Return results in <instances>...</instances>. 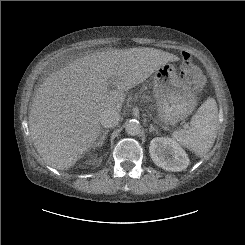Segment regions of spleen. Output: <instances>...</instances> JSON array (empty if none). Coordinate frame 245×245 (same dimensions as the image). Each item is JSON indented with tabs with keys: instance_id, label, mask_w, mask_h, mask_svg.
I'll return each instance as SVG.
<instances>
[{
	"instance_id": "spleen-1",
	"label": "spleen",
	"mask_w": 245,
	"mask_h": 245,
	"mask_svg": "<svg viewBox=\"0 0 245 245\" xmlns=\"http://www.w3.org/2000/svg\"><path fill=\"white\" fill-rule=\"evenodd\" d=\"M218 130V108L214 98H208L192 116L189 129L172 133V139L198 156L213 146Z\"/></svg>"
}]
</instances>
